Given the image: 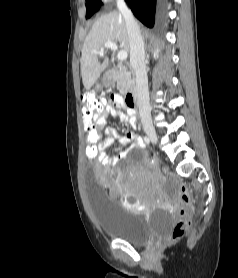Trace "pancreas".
<instances>
[{
    "label": "pancreas",
    "instance_id": "cf45deb5",
    "mask_svg": "<svg viewBox=\"0 0 238 278\" xmlns=\"http://www.w3.org/2000/svg\"><path fill=\"white\" fill-rule=\"evenodd\" d=\"M117 89L120 93H127L134 85L131 73L123 65H118Z\"/></svg>",
    "mask_w": 238,
    "mask_h": 278
}]
</instances>
